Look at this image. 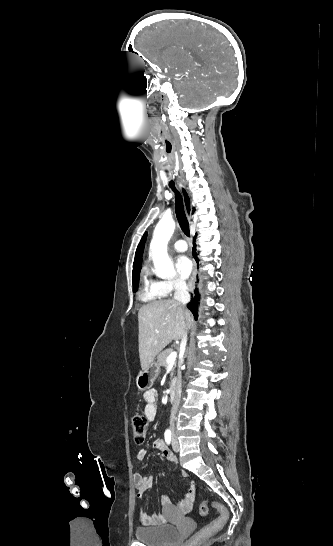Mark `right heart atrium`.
Returning <instances> with one entry per match:
<instances>
[{"instance_id":"obj_1","label":"right heart atrium","mask_w":333,"mask_h":546,"mask_svg":"<svg viewBox=\"0 0 333 546\" xmlns=\"http://www.w3.org/2000/svg\"><path fill=\"white\" fill-rule=\"evenodd\" d=\"M185 288V282L180 278L160 280L157 282L158 292L162 296H169L173 292L180 291Z\"/></svg>"}]
</instances>
